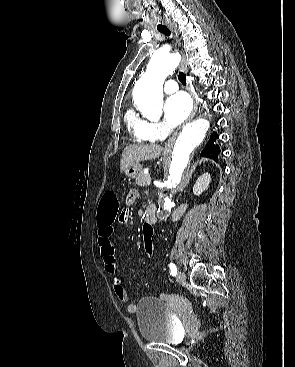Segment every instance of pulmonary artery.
I'll return each instance as SVG.
<instances>
[{
  "instance_id": "obj_1",
  "label": "pulmonary artery",
  "mask_w": 295,
  "mask_h": 367,
  "mask_svg": "<svg viewBox=\"0 0 295 367\" xmlns=\"http://www.w3.org/2000/svg\"><path fill=\"white\" fill-rule=\"evenodd\" d=\"M164 92L167 94H172L178 90V85L175 80H168L164 84Z\"/></svg>"
}]
</instances>
